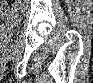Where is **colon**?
I'll return each mask as SVG.
<instances>
[{"instance_id":"5ec220e1","label":"colon","mask_w":93,"mask_h":83,"mask_svg":"<svg viewBox=\"0 0 93 83\" xmlns=\"http://www.w3.org/2000/svg\"><path fill=\"white\" fill-rule=\"evenodd\" d=\"M24 4L23 1H6L2 7V16L5 18L8 15H12L18 12L20 7Z\"/></svg>"}]
</instances>
